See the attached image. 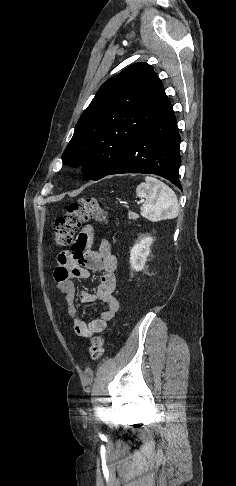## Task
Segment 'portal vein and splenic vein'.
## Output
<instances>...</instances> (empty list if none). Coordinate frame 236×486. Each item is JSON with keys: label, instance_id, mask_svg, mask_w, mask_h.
Listing matches in <instances>:
<instances>
[{"label": "portal vein and splenic vein", "instance_id": "obj_1", "mask_svg": "<svg viewBox=\"0 0 236 486\" xmlns=\"http://www.w3.org/2000/svg\"><path fill=\"white\" fill-rule=\"evenodd\" d=\"M143 201H138L137 204L140 205Z\"/></svg>", "mask_w": 236, "mask_h": 486}]
</instances>
